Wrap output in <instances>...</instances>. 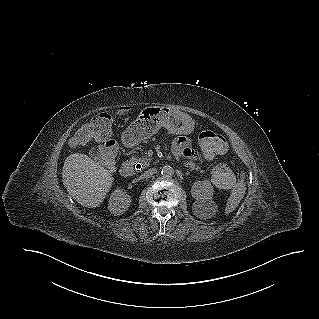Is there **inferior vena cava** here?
<instances>
[{
  "label": "inferior vena cava",
  "instance_id": "obj_1",
  "mask_svg": "<svg viewBox=\"0 0 319 319\" xmlns=\"http://www.w3.org/2000/svg\"><path fill=\"white\" fill-rule=\"evenodd\" d=\"M155 173V169H150V170H147L146 172H144L142 175H141V178H149L151 177L153 174Z\"/></svg>",
  "mask_w": 319,
  "mask_h": 319
}]
</instances>
